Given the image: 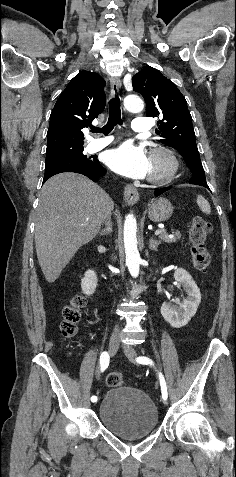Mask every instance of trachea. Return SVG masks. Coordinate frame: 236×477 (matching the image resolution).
I'll return each instance as SVG.
<instances>
[{
	"instance_id": "3493384b",
	"label": "trachea",
	"mask_w": 236,
	"mask_h": 477,
	"mask_svg": "<svg viewBox=\"0 0 236 477\" xmlns=\"http://www.w3.org/2000/svg\"><path fill=\"white\" fill-rule=\"evenodd\" d=\"M123 121L121 119V109H120V99L114 97L109 101V118L108 122L102 128L93 127L91 131L93 133H103L108 135L116 125H122Z\"/></svg>"
}]
</instances>
